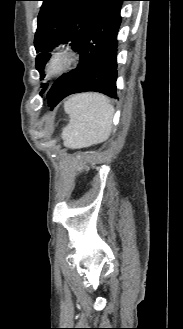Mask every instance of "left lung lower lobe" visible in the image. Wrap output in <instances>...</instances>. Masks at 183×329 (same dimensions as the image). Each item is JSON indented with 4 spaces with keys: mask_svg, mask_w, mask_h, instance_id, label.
I'll list each match as a JSON object with an SVG mask.
<instances>
[{
    "mask_svg": "<svg viewBox=\"0 0 183 329\" xmlns=\"http://www.w3.org/2000/svg\"><path fill=\"white\" fill-rule=\"evenodd\" d=\"M124 1L128 0H118L86 31L77 48L80 54L78 66L59 77L48 91L51 109L73 93L96 91L116 98L117 35Z\"/></svg>",
    "mask_w": 183,
    "mask_h": 329,
    "instance_id": "1",
    "label": "left lung lower lobe"
}]
</instances>
